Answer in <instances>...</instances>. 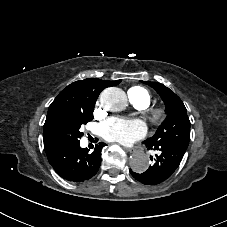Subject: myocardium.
Returning a JSON list of instances; mask_svg holds the SVG:
<instances>
[{
  "mask_svg": "<svg viewBox=\"0 0 227 227\" xmlns=\"http://www.w3.org/2000/svg\"><path fill=\"white\" fill-rule=\"evenodd\" d=\"M148 120L154 125L165 123L169 117V110L165 106L153 105L146 108Z\"/></svg>",
  "mask_w": 227,
  "mask_h": 227,
  "instance_id": "myocardium-1",
  "label": "myocardium"
}]
</instances>
